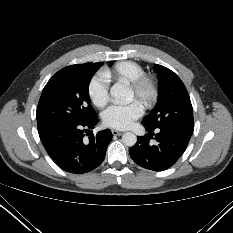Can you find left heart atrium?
I'll use <instances>...</instances> for the list:
<instances>
[{
  "mask_svg": "<svg viewBox=\"0 0 233 233\" xmlns=\"http://www.w3.org/2000/svg\"><path fill=\"white\" fill-rule=\"evenodd\" d=\"M143 114V106L139 101L128 104H115L103 113V122L106 126L125 130L132 126L133 122Z\"/></svg>",
  "mask_w": 233,
  "mask_h": 233,
  "instance_id": "39dd6f15",
  "label": "left heart atrium"
}]
</instances>
